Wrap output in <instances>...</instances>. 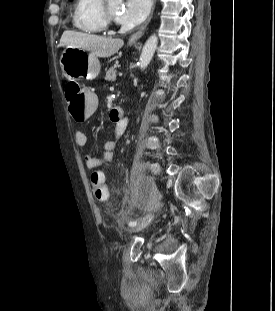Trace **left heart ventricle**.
<instances>
[{
	"mask_svg": "<svg viewBox=\"0 0 275 311\" xmlns=\"http://www.w3.org/2000/svg\"><path fill=\"white\" fill-rule=\"evenodd\" d=\"M107 4L109 11L116 18L122 8V4L118 0H109Z\"/></svg>",
	"mask_w": 275,
	"mask_h": 311,
	"instance_id": "b2bd125f",
	"label": "left heart ventricle"
}]
</instances>
